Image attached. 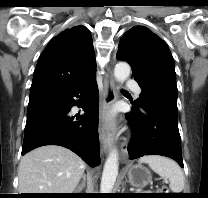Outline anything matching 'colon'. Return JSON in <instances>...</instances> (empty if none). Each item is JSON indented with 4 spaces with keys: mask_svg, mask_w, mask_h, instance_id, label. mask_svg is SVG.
<instances>
[{
    "mask_svg": "<svg viewBox=\"0 0 208 198\" xmlns=\"http://www.w3.org/2000/svg\"><path fill=\"white\" fill-rule=\"evenodd\" d=\"M161 191H163V192H167V191H168V188L163 187V188H161Z\"/></svg>",
    "mask_w": 208,
    "mask_h": 198,
    "instance_id": "5ec220e1",
    "label": "colon"
}]
</instances>
